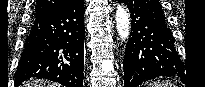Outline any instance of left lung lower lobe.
I'll list each match as a JSON object with an SVG mask.
<instances>
[{
    "instance_id": "left-lung-lower-lobe-1",
    "label": "left lung lower lobe",
    "mask_w": 205,
    "mask_h": 87,
    "mask_svg": "<svg viewBox=\"0 0 205 87\" xmlns=\"http://www.w3.org/2000/svg\"><path fill=\"white\" fill-rule=\"evenodd\" d=\"M129 9L131 33L125 48L124 87L159 76H181L183 63L158 0H119Z\"/></svg>"
}]
</instances>
